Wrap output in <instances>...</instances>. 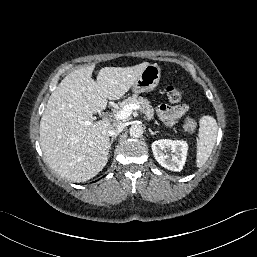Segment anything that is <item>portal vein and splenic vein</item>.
Returning <instances> with one entry per match:
<instances>
[{
  "instance_id": "1",
  "label": "portal vein and splenic vein",
  "mask_w": 257,
  "mask_h": 257,
  "mask_svg": "<svg viewBox=\"0 0 257 257\" xmlns=\"http://www.w3.org/2000/svg\"><path fill=\"white\" fill-rule=\"evenodd\" d=\"M141 106L139 104H128L125 105L121 110L117 111L113 117L116 120H125L127 119L134 110H140ZM86 125H90L89 121L85 122Z\"/></svg>"
}]
</instances>
